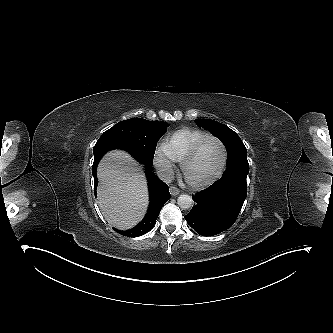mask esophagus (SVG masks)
<instances>
[{"mask_svg":"<svg viewBox=\"0 0 333 333\" xmlns=\"http://www.w3.org/2000/svg\"><path fill=\"white\" fill-rule=\"evenodd\" d=\"M179 189L177 188V187H175V186H171L170 187V194L172 195V196H177L178 194H179Z\"/></svg>","mask_w":333,"mask_h":333,"instance_id":"1","label":"esophagus"}]
</instances>
